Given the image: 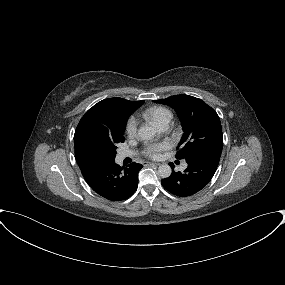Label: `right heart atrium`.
<instances>
[{
    "label": "right heart atrium",
    "mask_w": 285,
    "mask_h": 285,
    "mask_svg": "<svg viewBox=\"0 0 285 285\" xmlns=\"http://www.w3.org/2000/svg\"><path fill=\"white\" fill-rule=\"evenodd\" d=\"M137 132V119L134 116L129 117L125 125V133L128 137H134Z\"/></svg>",
    "instance_id": "1"
}]
</instances>
